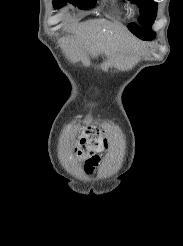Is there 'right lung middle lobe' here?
Instances as JSON below:
<instances>
[{
  "label": "right lung middle lobe",
  "instance_id": "right-lung-middle-lobe-1",
  "mask_svg": "<svg viewBox=\"0 0 183 246\" xmlns=\"http://www.w3.org/2000/svg\"><path fill=\"white\" fill-rule=\"evenodd\" d=\"M66 2H70L73 5L84 4V7H93L96 3V0H54V8H61L66 4Z\"/></svg>",
  "mask_w": 183,
  "mask_h": 246
}]
</instances>
